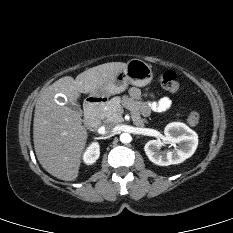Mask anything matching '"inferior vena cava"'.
<instances>
[{"label": "inferior vena cava", "instance_id": "inferior-vena-cava-1", "mask_svg": "<svg viewBox=\"0 0 233 233\" xmlns=\"http://www.w3.org/2000/svg\"><path fill=\"white\" fill-rule=\"evenodd\" d=\"M103 133L111 134L115 132V126L111 123H107L104 126H102Z\"/></svg>", "mask_w": 233, "mask_h": 233}]
</instances>
